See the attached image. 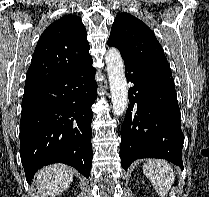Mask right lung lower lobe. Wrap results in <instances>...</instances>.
I'll use <instances>...</instances> for the list:
<instances>
[{
    "mask_svg": "<svg viewBox=\"0 0 209 197\" xmlns=\"http://www.w3.org/2000/svg\"><path fill=\"white\" fill-rule=\"evenodd\" d=\"M95 72L89 58L56 80L24 90L20 156L28 182L38 169L52 163L68 164L89 176Z\"/></svg>",
    "mask_w": 209,
    "mask_h": 197,
    "instance_id": "obj_1",
    "label": "right lung lower lobe"
}]
</instances>
